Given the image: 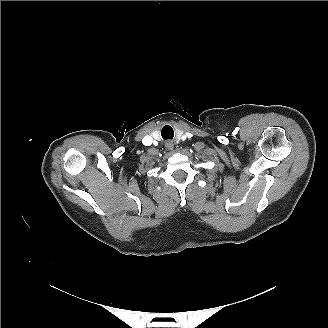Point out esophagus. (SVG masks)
<instances>
[{
  "mask_svg": "<svg viewBox=\"0 0 328 328\" xmlns=\"http://www.w3.org/2000/svg\"><path fill=\"white\" fill-rule=\"evenodd\" d=\"M165 147L168 149V150H172L174 148V144L172 142H166L165 143Z\"/></svg>",
  "mask_w": 328,
  "mask_h": 328,
  "instance_id": "obj_1",
  "label": "esophagus"
}]
</instances>
